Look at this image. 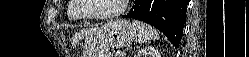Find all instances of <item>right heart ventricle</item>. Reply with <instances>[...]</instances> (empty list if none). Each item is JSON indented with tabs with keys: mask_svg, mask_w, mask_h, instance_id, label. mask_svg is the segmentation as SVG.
Wrapping results in <instances>:
<instances>
[{
	"mask_svg": "<svg viewBox=\"0 0 249 57\" xmlns=\"http://www.w3.org/2000/svg\"><path fill=\"white\" fill-rule=\"evenodd\" d=\"M74 1L75 0L70 1L71 4H70V6L68 7V10H67V17L70 20H79L81 17H79L77 15L76 11H75V7H74L75 6V2Z\"/></svg>",
	"mask_w": 249,
	"mask_h": 57,
	"instance_id": "1",
	"label": "right heart ventricle"
}]
</instances>
